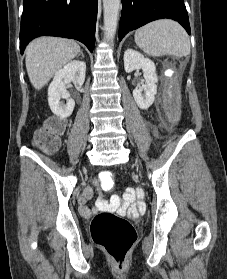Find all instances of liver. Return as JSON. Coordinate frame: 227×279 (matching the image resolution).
<instances>
[{"instance_id": "1", "label": "liver", "mask_w": 227, "mask_h": 279, "mask_svg": "<svg viewBox=\"0 0 227 279\" xmlns=\"http://www.w3.org/2000/svg\"><path fill=\"white\" fill-rule=\"evenodd\" d=\"M80 53L76 41L57 37H40L25 50V63L31 84L43 88L53 75Z\"/></svg>"}]
</instances>
